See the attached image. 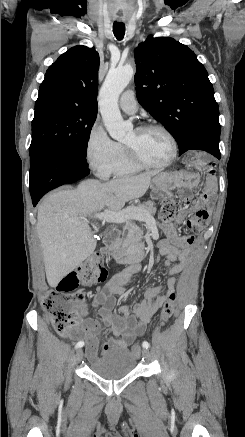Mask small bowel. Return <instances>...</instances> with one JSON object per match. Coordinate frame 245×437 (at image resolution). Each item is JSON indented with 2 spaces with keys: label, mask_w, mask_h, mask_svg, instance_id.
Instances as JSON below:
<instances>
[{
  "label": "small bowel",
  "mask_w": 245,
  "mask_h": 437,
  "mask_svg": "<svg viewBox=\"0 0 245 437\" xmlns=\"http://www.w3.org/2000/svg\"><path fill=\"white\" fill-rule=\"evenodd\" d=\"M186 157L191 171L195 173L203 171L209 180H213L216 177L217 165L214 159H211L210 154H203L202 150H187ZM196 182L197 180H194V183ZM209 196L208 192L204 196V205L206 206H209ZM184 197L187 201L191 200V192L186 191ZM185 217V211L179 212L177 222H183ZM208 218L209 211L207 209H200L188 221V227L202 229L206 225ZM161 226L166 238L158 243V248L160 254L165 258L164 266L170 268L167 287L169 290H172L177 283L174 275L183 270L184 262L187 258L188 250L194 242V237L192 235L180 234L173 224L163 222ZM176 261L179 263L173 265ZM124 283L120 278L113 277L93 298V305L98 307L99 316L111 334L107 343L102 346L104 352L114 348L124 349L134 338L142 335L147 324L168 299L169 294L165 293L164 286L154 285L146 290L143 301L123 305L119 308L118 313L115 314L112 312L115 305V295L123 292ZM79 312L84 314L85 308L79 307ZM98 332V322L87 318L83 321L78 335L64 336L68 338H83L86 341V356L90 360H94L98 357Z\"/></svg>",
  "instance_id": "c3829d8e"
}]
</instances>
